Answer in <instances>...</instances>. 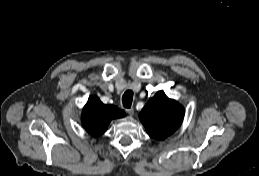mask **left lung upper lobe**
<instances>
[{"instance_id": "1", "label": "left lung upper lobe", "mask_w": 259, "mask_h": 176, "mask_svg": "<svg viewBox=\"0 0 259 176\" xmlns=\"http://www.w3.org/2000/svg\"><path fill=\"white\" fill-rule=\"evenodd\" d=\"M139 117L149 136L163 140L180 127L184 108L159 91L144 106Z\"/></svg>"}]
</instances>
